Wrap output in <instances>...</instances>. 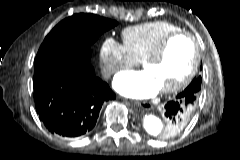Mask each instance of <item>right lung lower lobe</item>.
Wrapping results in <instances>:
<instances>
[{
  "label": "right lung lower lobe",
  "mask_w": 240,
  "mask_h": 160,
  "mask_svg": "<svg viewBox=\"0 0 240 160\" xmlns=\"http://www.w3.org/2000/svg\"><path fill=\"white\" fill-rule=\"evenodd\" d=\"M34 101L40 120L62 137H81L95 126L104 102L116 95L91 66L53 58L35 66Z\"/></svg>",
  "instance_id": "98d812e1"
}]
</instances>
